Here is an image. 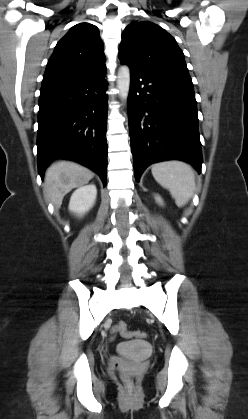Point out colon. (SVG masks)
I'll list each match as a JSON object with an SVG mask.
<instances>
[{"mask_svg":"<svg viewBox=\"0 0 248 419\" xmlns=\"http://www.w3.org/2000/svg\"><path fill=\"white\" fill-rule=\"evenodd\" d=\"M114 329H115V332L121 334L122 336H124L126 338H141V339H143V338H146V336H147L146 333L143 332V331H131V330H129L127 324L124 323V322H120V323L116 324ZM123 379L128 386L131 385V379L128 376L123 375Z\"/></svg>","mask_w":248,"mask_h":419,"instance_id":"1","label":"colon"}]
</instances>
